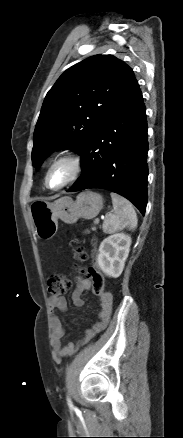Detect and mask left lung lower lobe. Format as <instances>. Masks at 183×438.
I'll return each instance as SVG.
<instances>
[{"instance_id":"obj_1","label":"left lung lower lobe","mask_w":183,"mask_h":438,"mask_svg":"<svg viewBox=\"0 0 183 438\" xmlns=\"http://www.w3.org/2000/svg\"><path fill=\"white\" fill-rule=\"evenodd\" d=\"M145 110L136 81L89 138L81 153L82 175L68 192L106 189L127 198L145 213L148 177Z\"/></svg>"}]
</instances>
